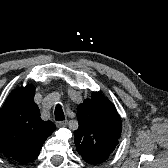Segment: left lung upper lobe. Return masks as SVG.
<instances>
[{"label": "left lung upper lobe", "instance_id": "left-lung-upper-lobe-1", "mask_svg": "<svg viewBox=\"0 0 168 168\" xmlns=\"http://www.w3.org/2000/svg\"><path fill=\"white\" fill-rule=\"evenodd\" d=\"M79 128L74 131L75 145L83 160L90 164L104 162L121 137L122 123L115 106L99 92H93L78 106Z\"/></svg>", "mask_w": 168, "mask_h": 168}]
</instances>
